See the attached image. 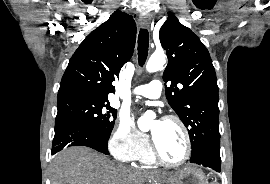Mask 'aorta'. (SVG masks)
<instances>
[{
    "label": "aorta",
    "mask_w": 270,
    "mask_h": 184,
    "mask_svg": "<svg viewBox=\"0 0 270 184\" xmlns=\"http://www.w3.org/2000/svg\"><path fill=\"white\" fill-rule=\"evenodd\" d=\"M165 64V54L164 53H153L151 57L149 58L146 70L150 73L156 72L158 70H161ZM155 117V114L153 112H146L144 115H142L138 119V127L145 131L150 127V123L152 119Z\"/></svg>",
    "instance_id": "aorta-1"
}]
</instances>
